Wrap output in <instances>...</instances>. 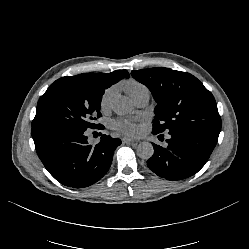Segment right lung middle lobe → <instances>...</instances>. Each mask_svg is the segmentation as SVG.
<instances>
[{
    "label": "right lung middle lobe",
    "mask_w": 249,
    "mask_h": 249,
    "mask_svg": "<svg viewBox=\"0 0 249 249\" xmlns=\"http://www.w3.org/2000/svg\"><path fill=\"white\" fill-rule=\"evenodd\" d=\"M107 88L86 75L66 76L56 80L40 97L32 127H97L94 121L101 117L102 95Z\"/></svg>",
    "instance_id": "right-lung-middle-lobe-1"
}]
</instances>
